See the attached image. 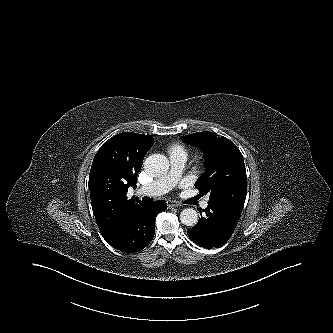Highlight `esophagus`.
<instances>
[{
	"label": "esophagus",
	"mask_w": 333,
	"mask_h": 333,
	"mask_svg": "<svg viewBox=\"0 0 333 333\" xmlns=\"http://www.w3.org/2000/svg\"><path fill=\"white\" fill-rule=\"evenodd\" d=\"M167 206H168L169 208H173V207H178V206H180V204L177 203V202H175V201L168 200V201H167Z\"/></svg>",
	"instance_id": "esophagus-1"
}]
</instances>
